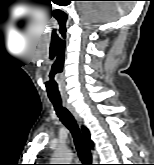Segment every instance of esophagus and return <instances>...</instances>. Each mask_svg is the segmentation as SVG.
<instances>
[{
    "mask_svg": "<svg viewBox=\"0 0 154 165\" xmlns=\"http://www.w3.org/2000/svg\"><path fill=\"white\" fill-rule=\"evenodd\" d=\"M63 105L69 110V112L74 116L76 121L81 124V118L79 114L77 113L76 109L72 106L70 102H68L66 99H62Z\"/></svg>",
    "mask_w": 154,
    "mask_h": 165,
    "instance_id": "1",
    "label": "esophagus"
}]
</instances>
